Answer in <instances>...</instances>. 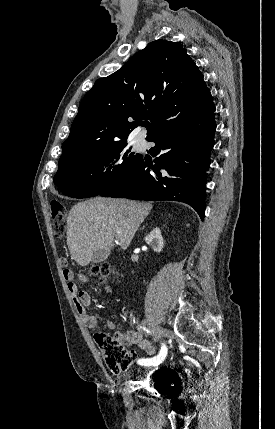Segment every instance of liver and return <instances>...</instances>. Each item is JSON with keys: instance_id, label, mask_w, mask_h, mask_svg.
Wrapping results in <instances>:
<instances>
[{"instance_id": "obj_1", "label": "liver", "mask_w": 275, "mask_h": 429, "mask_svg": "<svg viewBox=\"0 0 275 429\" xmlns=\"http://www.w3.org/2000/svg\"><path fill=\"white\" fill-rule=\"evenodd\" d=\"M152 209L151 203L95 197L72 207L67 219V245L81 266L92 261L94 252L130 245L140 224Z\"/></svg>"}]
</instances>
